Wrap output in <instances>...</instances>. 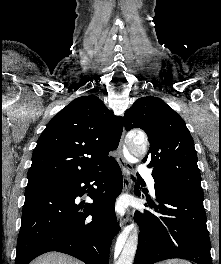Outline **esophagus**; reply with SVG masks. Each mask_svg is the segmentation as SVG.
<instances>
[{
	"label": "esophagus",
	"mask_w": 221,
	"mask_h": 264,
	"mask_svg": "<svg viewBox=\"0 0 221 264\" xmlns=\"http://www.w3.org/2000/svg\"><path fill=\"white\" fill-rule=\"evenodd\" d=\"M124 137H125V131L123 130L120 143L117 149L118 155H117V162L121 168L122 175H123V188L125 192H129L131 190V179H130V172L131 168L127 165V162L124 158ZM130 220V216L127 215L124 218L120 219V226L123 227L128 221Z\"/></svg>",
	"instance_id": "obj_1"
}]
</instances>
